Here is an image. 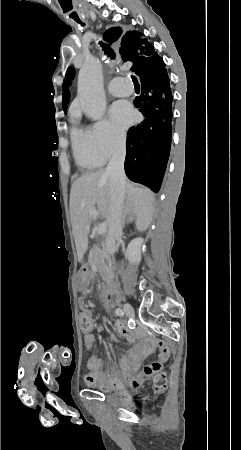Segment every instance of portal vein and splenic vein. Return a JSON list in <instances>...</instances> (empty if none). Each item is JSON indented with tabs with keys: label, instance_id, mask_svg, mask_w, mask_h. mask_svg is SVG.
Returning <instances> with one entry per match:
<instances>
[{
	"label": "portal vein and splenic vein",
	"instance_id": "obj_1",
	"mask_svg": "<svg viewBox=\"0 0 241 450\" xmlns=\"http://www.w3.org/2000/svg\"><path fill=\"white\" fill-rule=\"evenodd\" d=\"M97 234H104L107 230V224L104 222V224H99V226H96Z\"/></svg>",
	"mask_w": 241,
	"mask_h": 450
}]
</instances>
